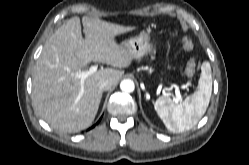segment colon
Wrapping results in <instances>:
<instances>
[{
  "label": "colon",
  "instance_id": "obj_1",
  "mask_svg": "<svg viewBox=\"0 0 249 165\" xmlns=\"http://www.w3.org/2000/svg\"><path fill=\"white\" fill-rule=\"evenodd\" d=\"M183 47L186 51H192L194 48L193 42L187 38L184 37L182 39ZM196 71V62L193 58L189 59L187 62L186 68H185V73L188 77H193Z\"/></svg>",
  "mask_w": 249,
  "mask_h": 165
}]
</instances>
